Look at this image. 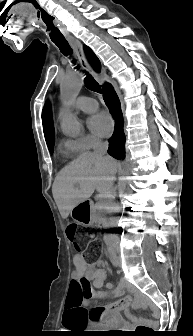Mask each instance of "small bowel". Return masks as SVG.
Returning a JSON list of instances; mask_svg holds the SVG:
<instances>
[{"instance_id": "c3829d8e", "label": "small bowel", "mask_w": 193, "mask_h": 336, "mask_svg": "<svg viewBox=\"0 0 193 336\" xmlns=\"http://www.w3.org/2000/svg\"><path fill=\"white\" fill-rule=\"evenodd\" d=\"M73 263L75 270L67 294L64 326L69 327L76 323L118 325L119 310L127 307L133 300H143L138 295L129 294L105 308L94 307L88 310L87 299L83 296L86 286L104 289L97 294L99 298H119L125 293L127 283L121 280L115 287L106 284V271L98 263H88L81 255H75Z\"/></svg>"}]
</instances>
